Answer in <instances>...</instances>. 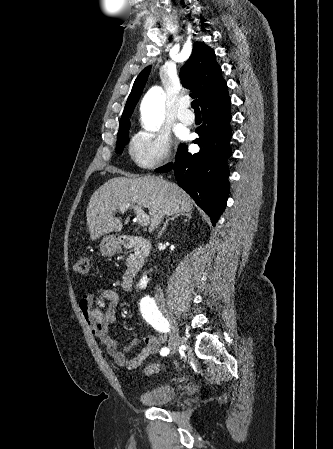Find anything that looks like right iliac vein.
<instances>
[{
  "label": "right iliac vein",
  "mask_w": 333,
  "mask_h": 449,
  "mask_svg": "<svg viewBox=\"0 0 333 449\" xmlns=\"http://www.w3.org/2000/svg\"><path fill=\"white\" fill-rule=\"evenodd\" d=\"M161 308L164 313L168 315V309L165 305V303L161 304ZM181 338L179 335V330L177 326L173 325L169 334V341H168V347L171 351V353H174L177 349L178 344L180 343Z\"/></svg>",
  "instance_id": "1"
}]
</instances>
